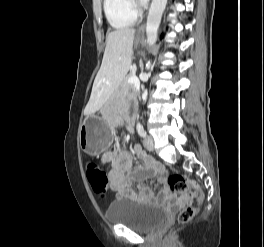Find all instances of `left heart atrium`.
I'll list each match as a JSON object with an SVG mask.
<instances>
[{"instance_id": "39dd6f15", "label": "left heart atrium", "mask_w": 264, "mask_h": 247, "mask_svg": "<svg viewBox=\"0 0 264 247\" xmlns=\"http://www.w3.org/2000/svg\"><path fill=\"white\" fill-rule=\"evenodd\" d=\"M148 0H139L141 4H145Z\"/></svg>"}]
</instances>
